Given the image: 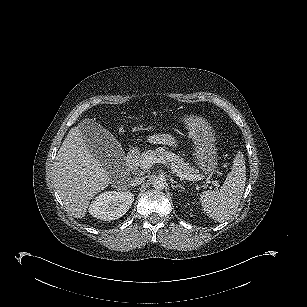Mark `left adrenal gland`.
I'll return each mask as SVG.
<instances>
[{
    "instance_id": "1",
    "label": "left adrenal gland",
    "mask_w": 307,
    "mask_h": 307,
    "mask_svg": "<svg viewBox=\"0 0 307 307\" xmlns=\"http://www.w3.org/2000/svg\"><path fill=\"white\" fill-rule=\"evenodd\" d=\"M171 186H172L173 189H175V188H182L184 190V187L181 184H174V183H172Z\"/></svg>"
}]
</instances>
